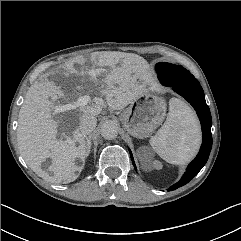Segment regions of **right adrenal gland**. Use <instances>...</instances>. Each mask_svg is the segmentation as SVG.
Listing matches in <instances>:
<instances>
[{
  "instance_id": "obj_1",
  "label": "right adrenal gland",
  "mask_w": 241,
  "mask_h": 241,
  "mask_svg": "<svg viewBox=\"0 0 241 241\" xmlns=\"http://www.w3.org/2000/svg\"><path fill=\"white\" fill-rule=\"evenodd\" d=\"M91 146H92L91 135H89L88 137H86L87 155L90 154Z\"/></svg>"
}]
</instances>
